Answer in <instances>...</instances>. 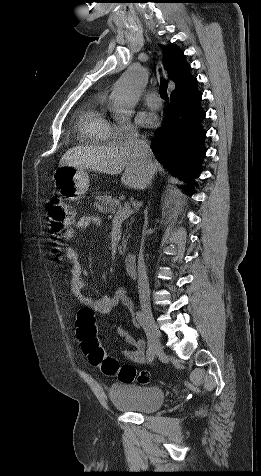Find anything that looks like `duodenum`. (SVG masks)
Listing matches in <instances>:
<instances>
[{
    "label": "duodenum",
    "instance_id": "obj_1",
    "mask_svg": "<svg viewBox=\"0 0 261 476\" xmlns=\"http://www.w3.org/2000/svg\"><path fill=\"white\" fill-rule=\"evenodd\" d=\"M125 269L129 276H137V256L135 254H128L125 257Z\"/></svg>",
    "mask_w": 261,
    "mask_h": 476
}]
</instances>
